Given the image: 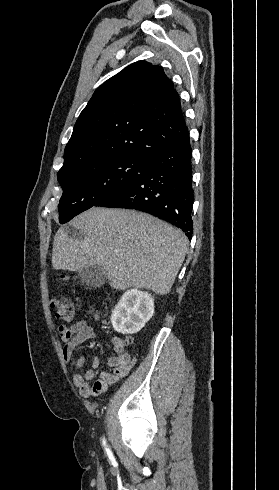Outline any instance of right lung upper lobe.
Returning a JSON list of instances; mask_svg holds the SVG:
<instances>
[{"instance_id": "obj_1", "label": "right lung upper lobe", "mask_w": 279, "mask_h": 490, "mask_svg": "<svg viewBox=\"0 0 279 490\" xmlns=\"http://www.w3.org/2000/svg\"><path fill=\"white\" fill-rule=\"evenodd\" d=\"M187 139L173 82L162 67L138 61L96 89L76 121L58 175L101 158L151 161Z\"/></svg>"}]
</instances>
